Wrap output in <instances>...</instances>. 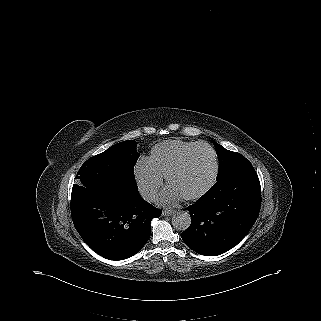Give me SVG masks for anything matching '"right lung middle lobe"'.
Returning <instances> with one entry per match:
<instances>
[{"mask_svg":"<svg viewBox=\"0 0 321 321\" xmlns=\"http://www.w3.org/2000/svg\"><path fill=\"white\" fill-rule=\"evenodd\" d=\"M139 156L136 142L128 140L89 158L77 173L72 197L89 192L126 197L138 192L134 166Z\"/></svg>","mask_w":321,"mask_h":321,"instance_id":"1","label":"right lung middle lobe"}]
</instances>
